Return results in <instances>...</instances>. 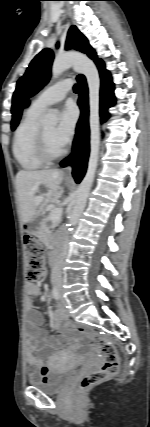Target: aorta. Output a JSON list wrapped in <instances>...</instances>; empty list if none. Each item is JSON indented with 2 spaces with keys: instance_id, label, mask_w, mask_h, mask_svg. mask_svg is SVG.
I'll list each match as a JSON object with an SVG mask.
<instances>
[{
  "instance_id": "1",
  "label": "aorta",
  "mask_w": 150,
  "mask_h": 427,
  "mask_svg": "<svg viewBox=\"0 0 150 427\" xmlns=\"http://www.w3.org/2000/svg\"><path fill=\"white\" fill-rule=\"evenodd\" d=\"M70 67L86 77L89 90L90 155L87 171L76 191L74 207L69 218L70 226H75L86 206L98 165L100 152V77L95 64L87 56L80 53H68L56 56L52 65V79L57 78ZM41 122L45 127H55L58 122L56 113L50 110L44 115Z\"/></svg>"
}]
</instances>
